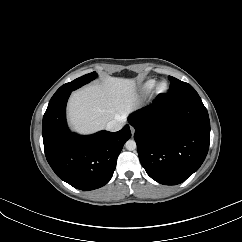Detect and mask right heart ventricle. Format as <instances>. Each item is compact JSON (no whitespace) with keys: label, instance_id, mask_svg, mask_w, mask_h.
<instances>
[{"label":"right heart ventricle","instance_id":"e07e8e85","mask_svg":"<svg viewBox=\"0 0 242 242\" xmlns=\"http://www.w3.org/2000/svg\"><path fill=\"white\" fill-rule=\"evenodd\" d=\"M155 86V80H148L142 86V91L145 93L150 92Z\"/></svg>","mask_w":242,"mask_h":242}]
</instances>
